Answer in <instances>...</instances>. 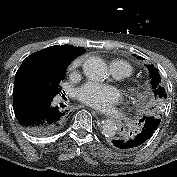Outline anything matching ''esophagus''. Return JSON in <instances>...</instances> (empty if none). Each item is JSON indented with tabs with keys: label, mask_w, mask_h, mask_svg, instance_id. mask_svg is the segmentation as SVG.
Instances as JSON below:
<instances>
[{
	"label": "esophagus",
	"mask_w": 177,
	"mask_h": 177,
	"mask_svg": "<svg viewBox=\"0 0 177 177\" xmlns=\"http://www.w3.org/2000/svg\"><path fill=\"white\" fill-rule=\"evenodd\" d=\"M98 115L101 117V118H104L106 115H107V112L104 110V109H101L99 112H97Z\"/></svg>",
	"instance_id": "esophagus-1"
}]
</instances>
